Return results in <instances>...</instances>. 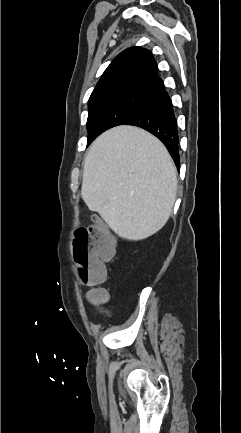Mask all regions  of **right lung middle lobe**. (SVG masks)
<instances>
[{
  "label": "right lung middle lobe",
  "instance_id": "1",
  "mask_svg": "<svg viewBox=\"0 0 241 433\" xmlns=\"http://www.w3.org/2000/svg\"><path fill=\"white\" fill-rule=\"evenodd\" d=\"M150 98L151 95L148 94L126 93L88 102L87 145L105 130L124 124L138 113Z\"/></svg>",
  "mask_w": 241,
  "mask_h": 433
}]
</instances>
